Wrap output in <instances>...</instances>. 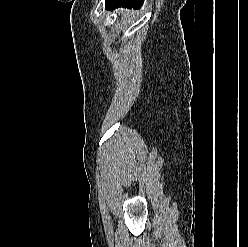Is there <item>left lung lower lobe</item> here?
<instances>
[{
    "mask_svg": "<svg viewBox=\"0 0 248 247\" xmlns=\"http://www.w3.org/2000/svg\"><path fill=\"white\" fill-rule=\"evenodd\" d=\"M143 0H106L105 6L107 9H113L120 6L139 8Z\"/></svg>",
    "mask_w": 248,
    "mask_h": 247,
    "instance_id": "1",
    "label": "left lung lower lobe"
}]
</instances>
